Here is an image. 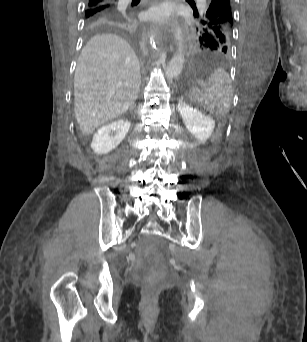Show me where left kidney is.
I'll list each match as a JSON object with an SVG mask.
<instances>
[{
	"mask_svg": "<svg viewBox=\"0 0 307 342\" xmlns=\"http://www.w3.org/2000/svg\"><path fill=\"white\" fill-rule=\"evenodd\" d=\"M179 114L186 126L187 130L199 140V142H206L210 138L214 128L215 122L211 116H205L196 108H191L185 102L178 104Z\"/></svg>",
	"mask_w": 307,
	"mask_h": 342,
	"instance_id": "1",
	"label": "left kidney"
}]
</instances>
